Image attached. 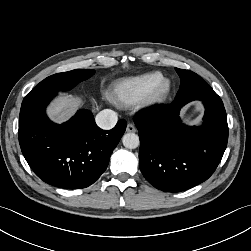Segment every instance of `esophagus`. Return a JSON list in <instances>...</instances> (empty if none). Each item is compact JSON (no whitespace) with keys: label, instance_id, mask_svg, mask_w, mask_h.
I'll return each mask as SVG.
<instances>
[{"label":"esophagus","instance_id":"34e87169","mask_svg":"<svg viewBox=\"0 0 251 251\" xmlns=\"http://www.w3.org/2000/svg\"><path fill=\"white\" fill-rule=\"evenodd\" d=\"M126 131L130 133L136 132V127L133 124L129 123L127 125Z\"/></svg>","mask_w":251,"mask_h":251}]
</instances>
